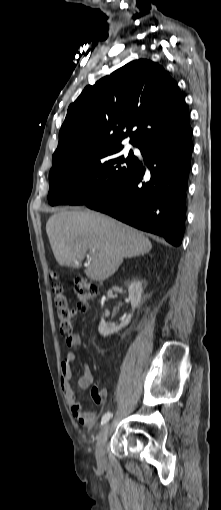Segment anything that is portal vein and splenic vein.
<instances>
[{"instance_id": "portal-vein-and-splenic-vein-1", "label": "portal vein and splenic vein", "mask_w": 221, "mask_h": 510, "mask_svg": "<svg viewBox=\"0 0 221 510\" xmlns=\"http://www.w3.org/2000/svg\"><path fill=\"white\" fill-rule=\"evenodd\" d=\"M92 252H95V249H92Z\"/></svg>"}]
</instances>
